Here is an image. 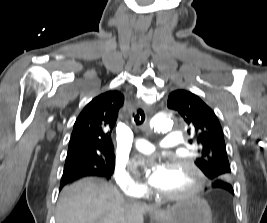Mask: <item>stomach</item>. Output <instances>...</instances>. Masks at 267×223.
I'll use <instances>...</instances> for the list:
<instances>
[{
  "label": "stomach",
  "instance_id": "0dacf381",
  "mask_svg": "<svg viewBox=\"0 0 267 223\" xmlns=\"http://www.w3.org/2000/svg\"><path fill=\"white\" fill-rule=\"evenodd\" d=\"M159 223H211L212 213L207 201L191 197L154 213Z\"/></svg>",
  "mask_w": 267,
  "mask_h": 223
}]
</instances>
